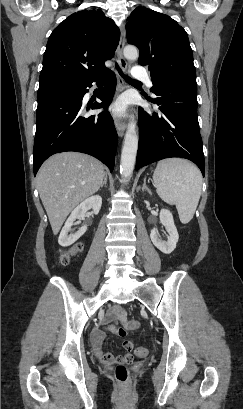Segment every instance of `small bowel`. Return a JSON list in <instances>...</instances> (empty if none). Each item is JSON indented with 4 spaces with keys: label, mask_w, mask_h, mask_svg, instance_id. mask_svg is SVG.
<instances>
[{
    "label": "small bowel",
    "mask_w": 243,
    "mask_h": 409,
    "mask_svg": "<svg viewBox=\"0 0 243 409\" xmlns=\"http://www.w3.org/2000/svg\"><path fill=\"white\" fill-rule=\"evenodd\" d=\"M126 316L124 308L121 305H115L104 316L101 322V328L95 329L89 339L91 350L95 356L105 364H112L117 361L129 363L133 358L134 343L131 340H124L123 347L126 350L125 355L115 358L110 353L106 352L102 348L105 333L112 331L114 324L118 322H125ZM136 323H130L129 328H134Z\"/></svg>",
    "instance_id": "c3829d8e"
}]
</instances>
